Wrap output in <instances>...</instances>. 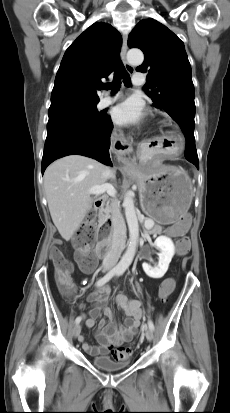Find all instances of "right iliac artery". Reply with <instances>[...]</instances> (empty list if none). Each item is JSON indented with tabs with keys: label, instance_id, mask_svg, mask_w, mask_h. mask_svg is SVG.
<instances>
[{
	"label": "right iliac artery",
	"instance_id": "right-iliac-artery-1",
	"mask_svg": "<svg viewBox=\"0 0 230 413\" xmlns=\"http://www.w3.org/2000/svg\"><path fill=\"white\" fill-rule=\"evenodd\" d=\"M117 272H118L117 269H113V270L109 271L104 277H102L101 279H99V280L96 282V286L99 287V286L104 285V284H105L106 282H108L115 274H117ZM80 321H81V317L78 316V317L76 318V320H75V323L78 324V323H80Z\"/></svg>",
	"mask_w": 230,
	"mask_h": 413
}]
</instances>
